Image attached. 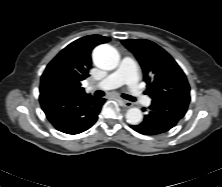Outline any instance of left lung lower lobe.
Masks as SVG:
<instances>
[{
    "label": "left lung lower lobe",
    "instance_id": "obj_1",
    "mask_svg": "<svg viewBox=\"0 0 222 187\" xmlns=\"http://www.w3.org/2000/svg\"><path fill=\"white\" fill-rule=\"evenodd\" d=\"M189 102L188 97H166L152 101L143 122L130 127L143 135L167 132L185 115Z\"/></svg>",
    "mask_w": 222,
    "mask_h": 187
}]
</instances>
